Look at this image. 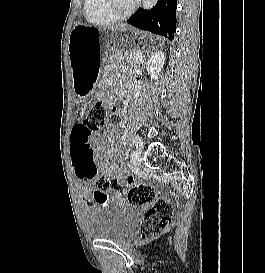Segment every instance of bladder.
<instances>
[{
  "label": "bladder",
  "mask_w": 265,
  "mask_h": 273,
  "mask_svg": "<svg viewBox=\"0 0 265 273\" xmlns=\"http://www.w3.org/2000/svg\"><path fill=\"white\" fill-rule=\"evenodd\" d=\"M137 224L138 209L123 203L95 208L83 217L87 237L115 243L130 239Z\"/></svg>",
  "instance_id": "obj_1"
}]
</instances>
